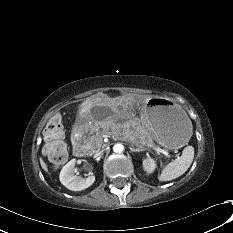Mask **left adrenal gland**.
<instances>
[{"label":"left adrenal gland","instance_id":"a2214340","mask_svg":"<svg viewBox=\"0 0 233 233\" xmlns=\"http://www.w3.org/2000/svg\"><path fill=\"white\" fill-rule=\"evenodd\" d=\"M137 146H138V145H137ZM130 150H131L132 152H142V151H144L145 149H144L143 147H141V146H138V148H134L133 145H132V146H130Z\"/></svg>","mask_w":233,"mask_h":233}]
</instances>
